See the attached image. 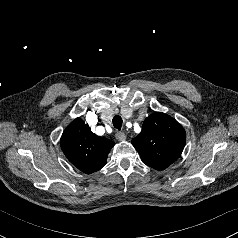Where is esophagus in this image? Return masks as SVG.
Returning <instances> with one entry per match:
<instances>
[{"mask_svg": "<svg viewBox=\"0 0 238 238\" xmlns=\"http://www.w3.org/2000/svg\"><path fill=\"white\" fill-rule=\"evenodd\" d=\"M115 137L118 141H124L126 139V135L123 132H117Z\"/></svg>", "mask_w": 238, "mask_h": 238, "instance_id": "34e87169", "label": "esophagus"}]
</instances>
